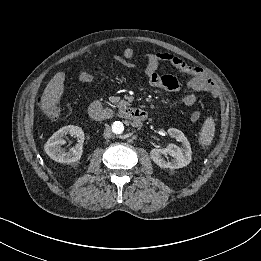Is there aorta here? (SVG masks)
<instances>
[{
  "label": "aorta",
  "mask_w": 261,
  "mask_h": 261,
  "mask_svg": "<svg viewBox=\"0 0 261 261\" xmlns=\"http://www.w3.org/2000/svg\"><path fill=\"white\" fill-rule=\"evenodd\" d=\"M112 131L115 133V134H121L123 133L124 131V125L122 122L120 121H115L113 124H112Z\"/></svg>",
  "instance_id": "obj_1"
}]
</instances>
